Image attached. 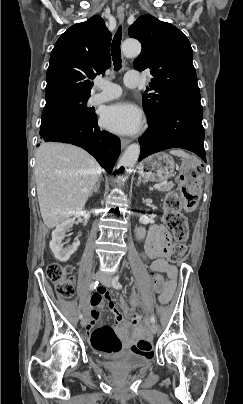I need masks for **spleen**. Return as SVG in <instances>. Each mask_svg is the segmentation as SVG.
<instances>
[{
	"label": "spleen",
	"instance_id": "1",
	"mask_svg": "<svg viewBox=\"0 0 243 404\" xmlns=\"http://www.w3.org/2000/svg\"><path fill=\"white\" fill-rule=\"evenodd\" d=\"M170 154H172V156H179V158H189L188 154L183 152V150H171Z\"/></svg>",
	"mask_w": 243,
	"mask_h": 404
}]
</instances>
